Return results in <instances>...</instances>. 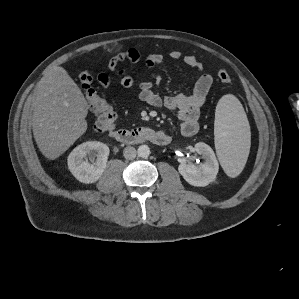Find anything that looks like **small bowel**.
Listing matches in <instances>:
<instances>
[{
  "label": "small bowel",
  "mask_w": 299,
  "mask_h": 299,
  "mask_svg": "<svg viewBox=\"0 0 299 299\" xmlns=\"http://www.w3.org/2000/svg\"><path fill=\"white\" fill-rule=\"evenodd\" d=\"M140 52L135 48L119 52L108 61V68L120 77V83L125 88L134 86L135 81L123 68L121 63L128 61L130 64H137L141 60ZM169 58L174 61L182 60L187 66L199 72L194 89L189 94H175L161 96L154 91L161 82L159 74L154 70L163 63L164 56L160 53L150 54L144 59L145 67L152 72L151 79L139 83L140 99L153 107H165L175 112L180 121V131L184 136L195 135L199 129V118L201 108L205 104L209 91L213 83V77L204 72L202 63L193 55L183 56L180 51L174 50L169 53ZM98 82L103 88L110 85L109 77L101 73L97 77Z\"/></svg>",
  "instance_id": "c3829d8e"
}]
</instances>
